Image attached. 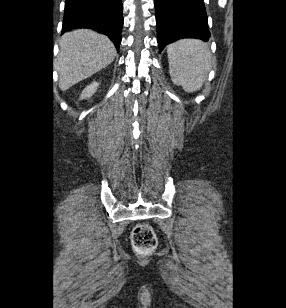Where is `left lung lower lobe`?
I'll use <instances>...</instances> for the list:
<instances>
[{
    "label": "left lung lower lobe",
    "instance_id": "1",
    "mask_svg": "<svg viewBox=\"0 0 286 308\" xmlns=\"http://www.w3.org/2000/svg\"><path fill=\"white\" fill-rule=\"evenodd\" d=\"M159 51L178 39L197 38L208 41L204 0H154Z\"/></svg>",
    "mask_w": 286,
    "mask_h": 308
}]
</instances>
